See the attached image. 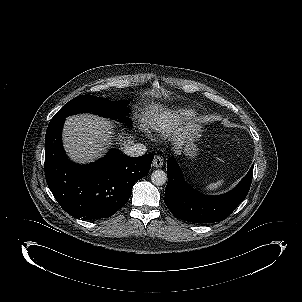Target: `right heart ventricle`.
<instances>
[{"label": "right heart ventricle", "instance_id": "right-heart-ventricle-1", "mask_svg": "<svg viewBox=\"0 0 302 302\" xmlns=\"http://www.w3.org/2000/svg\"><path fill=\"white\" fill-rule=\"evenodd\" d=\"M180 116L185 118V117L189 116V113L186 110H184L180 113ZM157 130H158L159 134L164 135L167 131V127H166V125H160Z\"/></svg>", "mask_w": 302, "mask_h": 302}]
</instances>
